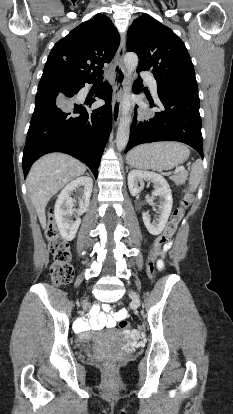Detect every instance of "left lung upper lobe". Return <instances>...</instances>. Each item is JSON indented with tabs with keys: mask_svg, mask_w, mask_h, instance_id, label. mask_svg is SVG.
Instances as JSON below:
<instances>
[{
	"mask_svg": "<svg viewBox=\"0 0 233 414\" xmlns=\"http://www.w3.org/2000/svg\"><path fill=\"white\" fill-rule=\"evenodd\" d=\"M127 49L139 57L138 72L152 70L158 88H197L194 67L183 41L149 15L138 17L129 27Z\"/></svg>",
	"mask_w": 233,
	"mask_h": 414,
	"instance_id": "left-lung-upper-lobe-1",
	"label": "left lung upper lobe"
}]
</instances>
